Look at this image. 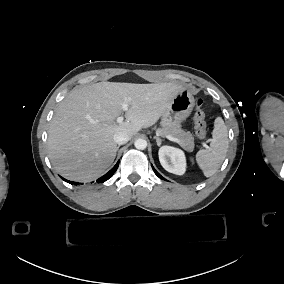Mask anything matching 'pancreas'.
I'll return each instance as SVG.
<instances>
[{
  "label": "pancreas",
  "instance_id": "cf45deb5",
  "mask_svg": "<svg viewBox=\"0 0 284 284\" xmlns=\"http://www.w3.org/2000/svg\"><path fill=\"white\" fill-rule=\"evenodd\" d=\"M157 133L165 137L167 135H171L175 138L179 139V144L189 152H192L194 149V137L188 131L185 132L180 128V124L177 122H169L168 127L158 128Z\"/></svg>",
  "mask_w": 284,
  "mask_h": 284
}]
</instances>
